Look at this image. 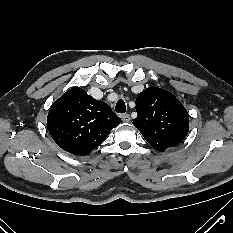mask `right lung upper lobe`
Segmentation results:
<instances>
[{"instance_id":"1","label":"right lung upper lobe","mask_w":233,"mask_h":233,"mask_svg":"<svg viewBox=\"0 0 233 233\" xmlns=\"http://www.w3.org/2000/svg\"><path fill=\"white\" fill-rule=\"evenodd\" d=\"M121 119L108 104L72 87L56 100L47 117V128L57 145L74 155H88L99 146Z\"/></svg>"}]
</instances>
